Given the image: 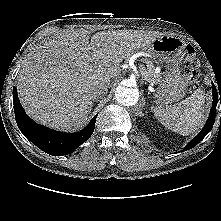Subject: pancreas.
I'll list each match as a JSON object with an SVG mask.
<instances>
[{
  "label": "pancreas",
  "instance_id": "1",
  "mask_svg": "<svg viewBox=\"0 0 221 221\" xmlns=\"http://www.w3.org/2000/svg\"><path fill=\"white\" fill-rule=\"evenodd\" d=\"M146 67L140 65L141 74L144 76L145 80L151 84H157L160 80V73H155V68L150 60L145 59Z\"/></svg>",
  "mask_w": 221,
  "mask_h": 221
}]
</instances>
